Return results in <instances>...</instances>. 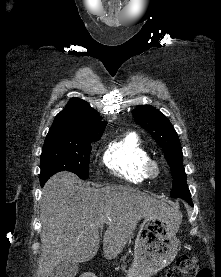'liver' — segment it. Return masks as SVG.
Returning a JSON list of instances; mask_svg holds the SVG:
<instances>
[{"label":"liver","mask_w":221,"mask_h":277,"mask_svg":"<svg viewBox=\"0 0 221 277\" xmlns=\"http://www.w3.org/2000/svg\"><path fill=\"white\" fill-rule=\"evenodd\" d=\"M40 212L42 254L37 277H49L63 261L91 260L98 252L104 223L103 253L111 260L122 252L142 218L169 215L172 208L134 188L82 185L76 175L63 171L44 185Z\"/></svg>","instance_id":"liver-1"}]
</instances>
